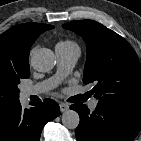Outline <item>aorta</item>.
I'll return each mask as SVG.
<instances>
[{
  "label": "aorta",
  "instance_id": "aorta-1",
  "mask_svg": "<svg viewBox=\"0 0 141 141\" xmlns=\"http://www.w3.org/2000/svg\"><path fill=\"white\" fill-rule=\"evenodd\" d=\"M30 62L35 70L49 72L55 65V56L50 49L40 48L31 55ZM79 122V115L74 110H66L62 114V124L68 129H76Z\"/></svg>",
  "mask_w": 141,
  "mask_h": 141
}]
</instances>
